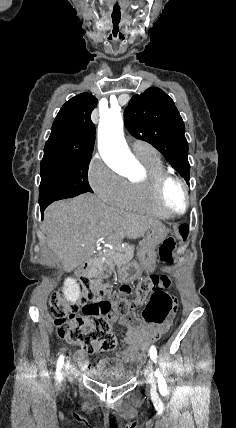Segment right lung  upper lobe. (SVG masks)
<instances>
[{"instance_id":"1","label":"right lung upper lobe","mask_w":236,"mask_h":428,"mask_svg":"<svg viewBox=\"0 0 236 428\" xmlns=\"http://www.w3.org/2000/svg\"><path fill=\"white\" fill-rule=\"evenodd\" d=\"M97 99L82 93L67 101L57 114L44 148V156H92L95 126L91 112Z\"/></svg>"}]
</instances>
